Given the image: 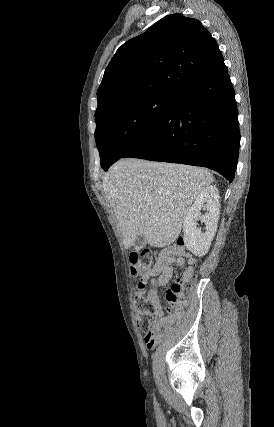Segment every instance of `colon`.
Instances as JSON below:
<instances>
[{
	"label": "colon",
	"mask_w": 274,
	"mask_h": 427,
	"mask_svg": "<svg viewBox=\"0 0 274 427\" xmlns=\"http://www.w3.org/2000/svg\"><path fill=\"white\" fill-rule=\"evenodd\" d=\"M189 237L186 234L175 237V246L183 247L184 243L188 242ZM132 263L134 264V276L140 277L141 279L149 278V260L142 257L141 252H134L132 257ZM187 275L184 274L182 278H177L175 282L168 285L165 291V299L168 303H175L184 287H187ZM141 291L144 290V283H141ZM185 291V289H184ZM154 308L151 302L139 298L136 301V324L142 336L151 337V349H152V334L155 333L154 325Z\"/></svg>",
	"instance_id": "1"
}]
</instances>
